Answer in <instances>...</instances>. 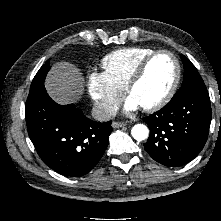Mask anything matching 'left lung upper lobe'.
I'll list each match as a JSON object with an SVG mask.
<instances>
[{
	"label": "left lung upper lobe",
	"instance_id": "5c2ea615",
	"mask_svg": "<svg viewBox=\"0 0 221 221\" xmlns=\"http://www.w3.org/2000/svg\"><path fill=\"white\" fill-rule=\"evenodd\" d=\"M181 59L184 65L183 84L174 97L185 92L206 89V86L195 66L182 54Z\"/></svg>",
	"mask_w": 221,
	"mask_h": 221
}]
</instances>
